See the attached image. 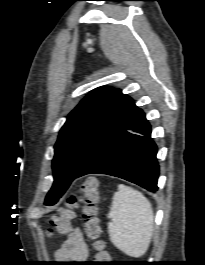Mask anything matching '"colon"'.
I'll use <instances>...</instances> for the list:
<instances>
[{
    "mask_svg": "<svg viewBox=\"0 0 205 265\" xmlns=\"http://www.w3.org/2000/svg\"><path fill=\"white\" fill-rule=\"evenodd\" d=\"M98 181L94 177L87 178L79 189L78 199H70L66 205L58 210V213L49 221V233L65 234L70 230V223L74 217V209L78 202H82V218L87 236L93 241L96 250L95 265L106 263L109 256L105 250V244L100 237V226L97 217Z\"/></svg>",
    "mask_w": 205,
    "mask_h": 265,
    "instance_id": "colon-1",
    "label": "colon"
}]
</instances>
